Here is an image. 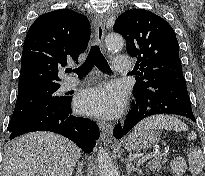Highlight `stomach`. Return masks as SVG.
<instances>
[{"mask_svg": "<svg viewBox=\"0 0 205 176\" xmlns=\"http://www.w3.org/2000/svg\"><path fill=\"white\" fill-rule=\"evenodd\" d=\"M160 140L159 132L154 129L135 130L124 140L123 146L127 151L149 149Z\"/></svg>", "mask_w": 205, "mask_h": 176, "instance_id": "stomach-1", "label": "stomach"}]
</instances>
